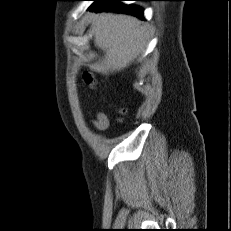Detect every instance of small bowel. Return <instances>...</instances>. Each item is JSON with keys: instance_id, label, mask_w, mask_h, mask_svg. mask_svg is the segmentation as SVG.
I'll return each instance as SVG.
<instances>
[{"instance_id": "1", "label": "small bowel", "mask_w": 231, "mask_h": 231, "mask_svg": "<svg viewBox=\"0 0 231 231\" xmlns=\"http://www.w3.org/2000/svg\"><path fill=\"white\" fill-rule=\"evenodd\" d=\"M93 124L98 130H104L108 126V119L103 113H98Z\"/></svg>"}]
</instances>
